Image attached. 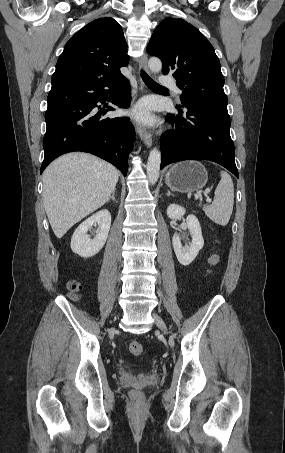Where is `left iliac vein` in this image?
Wrapping results in <instances>:
<instances>
[{"label":"left iliac vein","mask_w":285,"mask_h":453,"mask_svg":"<svg viewBox=\"0 0 285 453\" xmlns=\"http://www.w3.org/2000/svg\"><path fill=\"white\" fill-rule=\"evenodd\" d=\"M154 318H155V322H156V325L163 331V332H167V327H166V324L164 323V321L162 320V318L158 315V314H153Z\"/></svg>","instance_id":"obj_1"}]
</instances>
